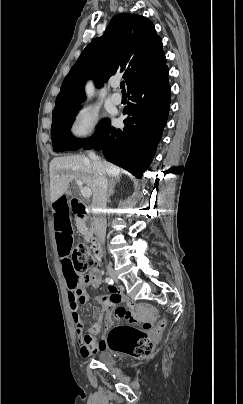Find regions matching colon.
I'll use <instances>...</instances> for the list:
<instances>
[{
    "mask_svg": "<svg viewBox=\"0 0 243 404\" xmlns=\"http://www.w3.org/2000/svg\"><path fill=\"white\" fill-rule=\"evenodd\" d=\"M95 266L96 259L90 249L85 244L76 245L72 255V269L79 280L75 285L85 280ZM162 327L160 323L152 333H147L130 325H117L109 332L106 344L112 351L144 358L152 352L155 336Z\"/></svg>",
    "mask_w": 243,
    "mask_h": 404,
    "instance_id": "1",
    "label": "colon"
}]
</instances>
